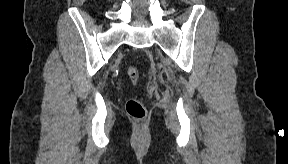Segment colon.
<instances>
[{
    "instance_id": "1",
    "label": "colon",
    "mask_w": 288,
    "mask_h": 164,
    "mask_svg": "<svg viewBox=\"0 0 288 164\" xmlns=\"http://www.w3.org/2000/svg\"><path fill=\"white\" fill-rule=\"evenodd\" d=\"M127 73L134 84L139 81L140 74L136 67H129ZM126 112L132 120H143L147 115L146 108L143 102L138 98L129 99L127 101Z\"/></svg>"
}]
</instances>
